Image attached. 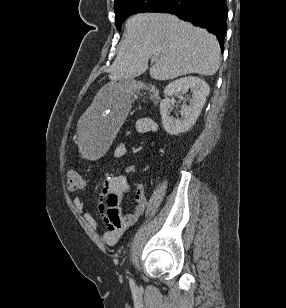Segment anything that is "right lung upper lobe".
<instances>
[{
    "label": "right lung upper lobe",
    "instance_id": "cb5924a9",
    "mask_svg": "<svg viewBox=\"0 0 286 308\" xmlns=\"http://www.w3.org/2000/svg\"><path fill=\"white\" fill-rule=\"evenodd\" d=\"M118 1H120V0H115V3H117Z\"/></svg>",
    "mask_w": 286,
    "mask_h": 308
}]
</instances>
